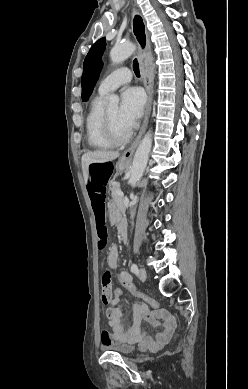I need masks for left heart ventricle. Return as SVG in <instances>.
<instances>
[{
  "label": "left heart ventricle",
  "mask_w": 248,
  "mask_h": 389,
  "mask_svg": "<svg viewBox=\"0 0 248 389\" xmlns=\"http://www.w3.org/2000/svg\"><path fill=\"white\" fill-rule=\"evenodd\" d=\"M108 114L113 122L114 128L116 132L120 135L126 134L129 130L121 123L119 118V108L114 107L111 109H108Z\"/></svg>",
  "instance_id": "left-heart-ventricle-1"
}]
</instances>
